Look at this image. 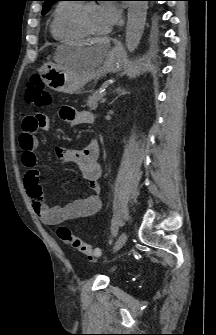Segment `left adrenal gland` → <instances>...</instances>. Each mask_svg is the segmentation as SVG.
<instances>
[{"instance_id": "obj_1", "label": "left adrenal gland", "mask_w": 216, "mask_h": 335, "mask_svg": "<svg viewBox=\"0 0 216 335\" xmlns=\"http://www.w3.org/2000/svg\"><path fill=\"white\" fill-rule=\"evenodd\" d=\"M115 91L117 93V97L115 98V100H117L121 96H125V95L130 93L129 90H127L125 88H121V87H118Z\"/></svg>"}]
</instances>
